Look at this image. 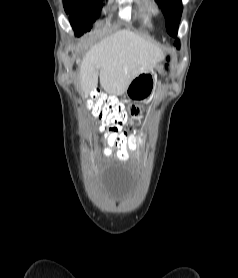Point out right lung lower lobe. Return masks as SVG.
Wrapping results in <instances>:
<instances>
[{
	"label": "right lung lower lobe",
	"instance_id": "obj_1",
	"mask_svg": "<svg viewBox=\"0 0 238 278\" xmlns=\"http://www.w3.org/2000/svg\"><path fill=\"white\" fill-rule=\"evenodd\" d=\"M77 21H78V18H76L74 16H70V22H71V25H72L73 29L75 30V32L77 31Z\"/></svg>",
	"mask_w": 238,
	"mask_h": 278
}]
</instances>
